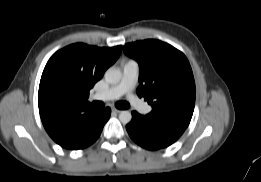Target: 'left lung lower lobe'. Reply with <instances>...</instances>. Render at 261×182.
<instances>
[{
	"label": "left lung lower lobe",
	"mask_w": 261,
	"mask_h": 182,
	"mask_svg": "<svg viewBox=\"0 0 261 182\" xmlns=\"http://www.w3.org/2000/svg\"><path fill=\"white\" fill-rule=\"evenodd\" d=\"M126 129L134 142L148 150H157L173 144L185 131L173 125L150 121L136 111Z\"/></svg>",
	"instance_id": "obj_1"
}]
</instances>
